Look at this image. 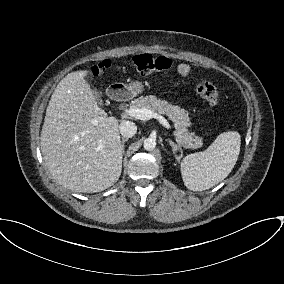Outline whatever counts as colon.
Here are the masks:
<instances>
[{"mask_svg": "<svg viewBox=\"0 0 284 284\" xmlns=\"http://www.w3.org/2000/svg\"><path fill=\"white\" fill-rule=\"evenodd\" d=\"M131 63L134 69L141 75H148L155 72L167 71L174 67V62L165 56H153L151 54H138L132 57ZM107 65L105 63L96 65L92 68L95 75L102 73ZM196 92L205 99L210 105L220 104V96L216 87L201 80L195 84Z\"/></svg>", "mask_w": 284, "mask_h": 284, "instance_id": "obj_1", "label": "colon"}]
</instances>
